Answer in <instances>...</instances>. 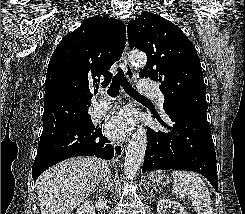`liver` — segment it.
I'll use <instances>...</instances> for the list:
<instances>
[{
  "mask_svg": "<svg viewBox=\"0 0 245 214\" xmlns=\"http://www.w3.org/2000/svg\"><path fill=\"white\" fill-rule=\"evenodd\" d=\"M108 170V163L96 157L72 158L48 169L37 180L41 214H71Z\"/></svg>",
  "mask_w": 245,
  "mask_h": 214,
  "instance_id": "1",
  "label": "liver"
}]
</instances>
